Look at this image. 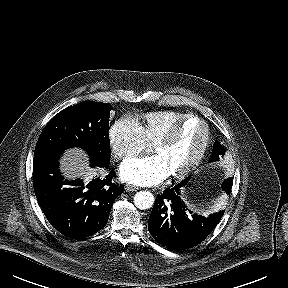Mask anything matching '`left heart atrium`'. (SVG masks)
<instances>
[{
    "label": "left heart atrium",
    "mask_w": 288,
    "mask_h": 288,
    "mask_svg": "<svg viewBox=\"0 0 288 288\" xmlns=\"http://www.w3.org/2000/svg\"><path fill=\"white\" fill-rule=\"evenodd\" d=\"M121 179L140 186L157 185L170 176V172L159 155L125 160L120 166Z\"/></svg>",
    "instance_id": "obj_1"
}]
</instances>
